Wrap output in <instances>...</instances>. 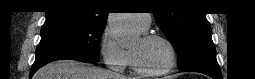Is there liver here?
<instances>
[{
  "instance_id": "6515ba94",
  "label": "liver",
  "mask_w": 255,
  "mask_h": 79,
  "mask_svg": "<svg viewBox=\"0 0 255 79\" xmlns=\"http://www.w3.org/2000/svg\"><path fill=\"white\" fill-rule=\"evenodd\" d=\"M33 79H130L76 60H58L40 68Z\"/></svg>"
}]
</instances>
